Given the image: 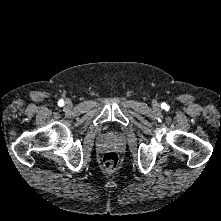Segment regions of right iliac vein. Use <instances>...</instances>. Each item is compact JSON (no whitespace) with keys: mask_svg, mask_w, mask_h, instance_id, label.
<instances>
[{"mask_svg":"<svg viewBox=\"0 0 221 221\" xmlns=\"http://www.w3.org/2000/svg\"><path fill=\"white\" fill-rule=\"evenodd\" d=\"M65 104H66V108H70L72 106V103L70 100H67Z\"/></svg>","mask_w":221,"mask_h":221,"instance_id":"1","label":"right iliac vein"}]
</instances>
